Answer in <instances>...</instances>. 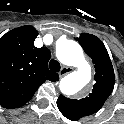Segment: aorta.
Listing matches in <instances>:
<instances>
[{"instance_id": "obj_1", "label": "aorta", "mask_w": 124, "mask_h": 124, "mask_svg": "<svg viewBox=\"0 0 124 124\" xmlns=\"http://www.w3.org/2000/svg\"><path fill=\"white\" fill-rule=\"evenodd\" d=\"M56 56L63 64L76 68L61 79L60 91L65 95H74L85 89L91 80V69L81 46L73 40L60 39L56 45Z\"/></svg>"}]
</instances>
